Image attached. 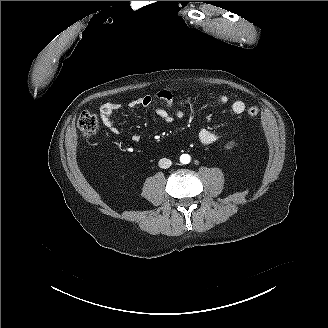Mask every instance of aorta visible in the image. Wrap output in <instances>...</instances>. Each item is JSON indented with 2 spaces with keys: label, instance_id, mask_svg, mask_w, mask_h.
Wrapping results in <instances>:
<instances>
[{
  "label": "aorta",
  "instance_id": "aorta-1",
  "mask_svg": "<svg viewBox=\"0 0 328 328\" xmlns=\"http://www.w3.org/2000/svg\"><path fill=\"white\" fill-rule=\"evenodd\" d=\"M190 161H191V157L188 154H182L180 156V162L182 164H188V163H190Z\"/></svg>",
  "mask_w": 328,
  "mask_h": 328
}]
</instances>
